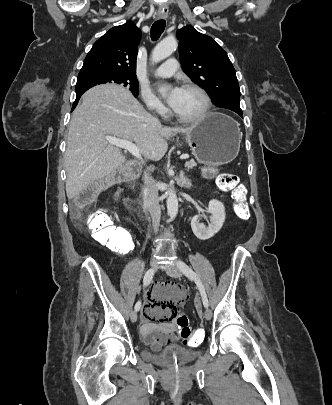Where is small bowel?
<instances>
[{
  "instance_id": "1",
  "label": "small bowel",
  "mask_w": 332,
  "mask_h": 405,
  "mask_svg": "<svg viewBox=\"0 0 332 405\" xmlns=\"http://www.w3.org/2000/svg\"><path fill=\"white\" fill-rule=\"evenodd\" d=\"M188 300L187 288H166L165 285L153 286L145 302L141 324L143 344H149L151 349H174L181 345L177 338L173 323L167 320L172 311H181ZM199 307V300L195 301Z\"/></svg>"
}]
</instances>
